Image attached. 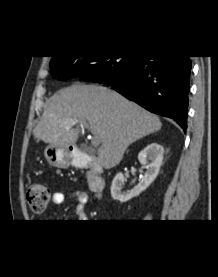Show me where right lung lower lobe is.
Listing matches in <instances>:
<instances>
[{
    "mask_svg": "<svg viewBox=\"0 0 218 277\" xmlns=\"http://www.w3.org/2000/svg\"><path fill=\"white\" fill-rule=\"evenodd\" d=\"M190 72V56H141L118 81H91L111 86L145 109L172 118L185 131Z\"/></svg>",
    "mask_w": 218,
    "mask_h": 277,
    "instance_id": "1",
    "label": "right lung lower lobe"
}]
</instances>
